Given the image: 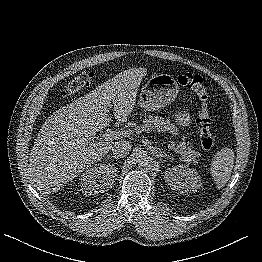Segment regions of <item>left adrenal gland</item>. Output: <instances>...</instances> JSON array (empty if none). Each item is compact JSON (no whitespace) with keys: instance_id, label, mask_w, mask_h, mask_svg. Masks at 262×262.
<instances>
[{"instance_id":"a2214340","label":"left adrenal gland","mask_w":262,"mask_h":262,"mask_svg":"<svg viewBox=\"0 0 262 262\" xmlns=\"http://www.w3.org/2000/svg\"><path fill=\"white\" fill-rule=\"evenodd\" d=\"M159 156H160L161 158H163V157L172 158L171 155H168L166 152H162L161 150L159 151Z\"/></svg>"}]
</instances>
